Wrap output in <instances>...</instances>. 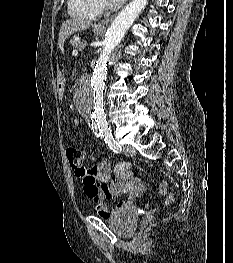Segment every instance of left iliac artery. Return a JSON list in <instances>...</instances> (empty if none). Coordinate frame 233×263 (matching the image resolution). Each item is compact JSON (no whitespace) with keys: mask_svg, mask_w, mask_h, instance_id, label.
<instances>
[{"mask_svg":"<svg viewBox=\"0 0 233 263\" xmlns=\"http://www.w3.org/2000/svg\"><path fill=\"white\" fill-rule=\"evenodd\" d=\"M101 135L104 138L105 143L113 152L119 153L121 151V146L114 140L110 129L101 132Z\"/></svg>","mask_w":233,"mask_h":263,"instance_id":"1","label":"left iliac artery"}]
</instances>
